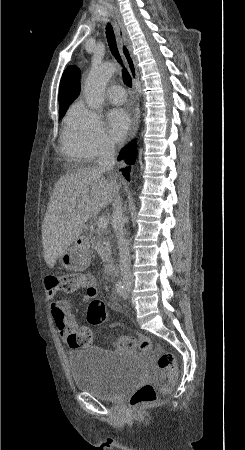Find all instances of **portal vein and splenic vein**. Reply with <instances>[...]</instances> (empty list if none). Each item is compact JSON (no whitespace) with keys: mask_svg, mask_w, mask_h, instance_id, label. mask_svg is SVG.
Instances as JSON below:
<instances>
[{"mask_svg":"<svg viewBox=\"0 0 245 450\" xmlns=\"http://www.w3.org/2000/svg\"><path fill=\"white\" fill-rule=\"evenodd\" d=\"M108 225V221L105 217H100L97 221V226L100 229H106Z\"/></svg>","mask_w":245,"mask_h":450,"instance_id":"1","label":"portal vein and splenic vein"}]
</instances>
